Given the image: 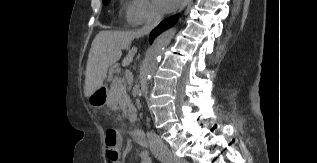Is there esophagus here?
<instances>
[{
	"label": "esophagus",
	"instance_id": "1",
	"mask_svg": "<svg viewBox=\"0 0 317 163\" xmlns=\"http://www.w3.org/2000/svg\"><path fill=\"white\" fill-rule=\"evenodd\" d=\"M190 1L191 0H183V3L180 7V11L184 10L187 7V5L190 3Z\"/></svg>",
	"mask_w": 317,
	"mask_h": 163
}]
</instances>
